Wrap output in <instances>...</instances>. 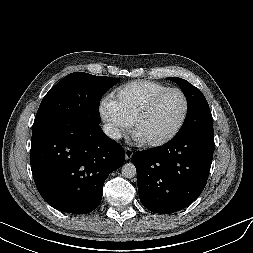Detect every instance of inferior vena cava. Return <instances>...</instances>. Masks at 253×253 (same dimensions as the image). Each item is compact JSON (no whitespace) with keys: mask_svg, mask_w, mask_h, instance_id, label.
<instances>
[{"mask_svg":"<svg viewBox=\"0 0 253 253\" xmlns=\"http://www.w3.org/2000/svg\"><path fill=\"white\" fill-rule=\"evenodd\" d=\"M103 131L111 139L119 140L121 138L120 130L111 123L104 124Z\"/></svg>","mask_w":253,"mask_h":253,"instance_id":"1","label":"inferior vena cava"}]
</instances>
